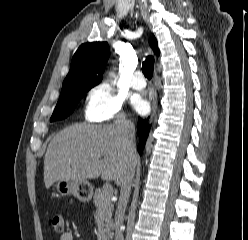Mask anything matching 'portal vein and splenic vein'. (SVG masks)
Listing matches in <instances>:
<instances>
[{
	"label": "portal vein and splenic vein",
	"mask_w": 248,
	"mask_h": 240,
	"mask_svg": "<svg viewBox=\"0 0 248 240\" xmlns=\"http://www.w3.org/2000/svg\"><path fill=\"white\" fill-rule=\"evenodd\" d=\"M103 192H104L106 195H112V192H113L112 185H111L110 183H106V184L103 186Z\"/></svg>",
	"instance_id": "obj_1"
}]
</instances>
